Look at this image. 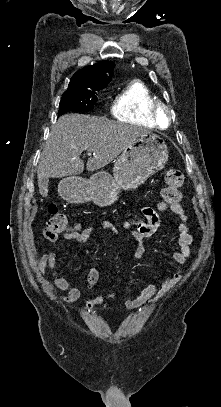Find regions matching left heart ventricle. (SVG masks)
Instances as JSON below:
<instances>
[{
    "label": "left heart ventricle",
    "instance_id": "b2bd125f",
    "mask_svg": "<svg viewBox=\"0 0 221 407\" xmlns=\"http://www.w3.org/2000/svg\"><path fill=\"white\" fill-rule=\"evenodd\" d=\"M161 124L162 125L166 124V116L164 114L161 115Z\"/></svg>",
    "mask_w": 221,
    "mask_h": 407
}]
</instances>
